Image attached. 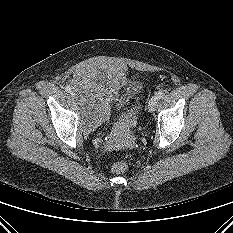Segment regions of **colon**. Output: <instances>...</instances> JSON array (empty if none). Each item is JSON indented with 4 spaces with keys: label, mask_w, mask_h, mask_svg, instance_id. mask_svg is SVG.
Wrapping results in <instances>:
<instances>
[{
    "label": "colon",
    "mask_w": 233,
    "mask_h": 233,
    "mask_svg": "<svg viewBox=\"0 0 233 233\" xmlns=\"http://www.w3.org/2000/svg\"><path fill=\"white\" fill-rule=\"evenodd\" d=\"M129 168V164L127 161H118L116 163H114L111 167V170L114 174H122L124 172H126Z\"/></svg>",
    "instance_id": "5ec220e1"
}]
</instances>
